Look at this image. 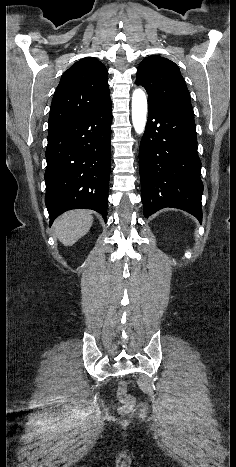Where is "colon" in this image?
I'll return each mask as SVG.
<instances>
[{
	"label": "colon",
	"instance_id": "5ec220e1",
	"mask_svg": "<svg viewBox=\"0 0 236 467\" xmlns=\"http://www.w3.org/2000/svg\"><path fill=\"white\" fill-rule=\"evenodd\" d=\"M117 397L122 402V406L120 408L122 412H128L134 407L135 400L132 396H130L127 393V385L125 381H121L119 383L118 389H117Z\"/></svg>",
	"mask_w": 236,
	"mask_h": 467
}]
</instances>
